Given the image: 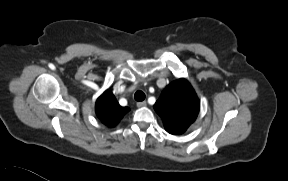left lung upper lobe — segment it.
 Here are the masks:
<instances>
[{
    "label": "left lung upper lobe",
    "mask_w": 288,
    "mask_h": 181,
    "mask_svg": "<svg viewBox=\"0 0 288 181\" xmlns=\"http://www.w3.org/2000/svg\"><path fill=\"white\" fill-rule=\"evenodd\" d=\"M164 127L170 134H182L195 121L200 109L199 99L186 79L171 82L154 104Z\"/></svg>",
    "instance_id": "obj_1"
}]
</instances>
